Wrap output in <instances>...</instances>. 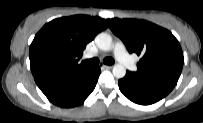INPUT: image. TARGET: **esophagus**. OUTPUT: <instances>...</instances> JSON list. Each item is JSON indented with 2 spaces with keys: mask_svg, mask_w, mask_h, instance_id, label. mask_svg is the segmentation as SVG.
Returning <instances> with one entry per match:
<instances>
[{
  "mask_svg": "<svg viewBox=\"0 0 203 123\" xmlns=\"http://www.w3.org/2000/svg\"><path fill=\"white\" fill-rule=\"evenodd\" d=\"M102 68H103V69H111L112 66H110V65H102Z\"/></svg>",
  "mask_w": 203,
  "mask_h": 123,
  "instance_id": "esophagus-1",
  "label": "esophagus"
}]
</instances>
